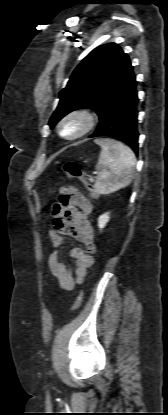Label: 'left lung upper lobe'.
I'll return each instance as SVG.
<instances>
[{"instance_id": "obj_1", "label": "left lung upper lobe", "mask_w": 168, "mask_h": 415, "mask_svg": "<svg viewBox=\"0 0 168 415\" xmlns=\"http://www.w3.org/2000/svg\"><path fill=\"white\" fill-rule=\"evenodd\" d=\"M133 76L131 61L117 44L98 46L76 67L67 86L60 92L50 127L76 109L89 108L100 116Z\"/></svg>"}]
</instances>
